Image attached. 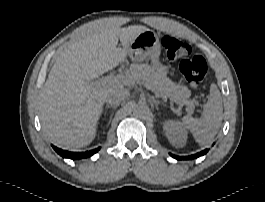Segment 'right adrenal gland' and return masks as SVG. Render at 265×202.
Segmentation results:
<instances>
[{
	"instance_id": "right-adrenal-gland-1",
	"label": "right adrenal gland",
	"mask_w": 265,
	"mask_h": 202,
	"mask_svg": "<svg viewBox=\"0 0 265 202\" xmlns=\"http://www.w3.org/2000/svg\"><path fill=\"white\" fill-rule=\"evenodd\" d=\"M116 108H117V106H109V105H107V106H106V109H105V111H104V114H105V115L107 114V110H108V109L116 110ZM112 116H113V113H112L111 116H110V120L112 119Z\"/></svg>"
}]
</instances>
